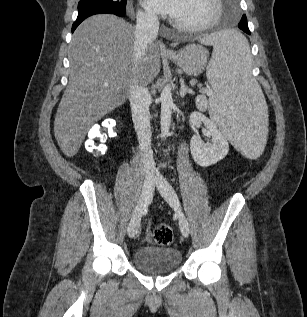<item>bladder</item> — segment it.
<instances>
[{
    "mask_svg": "<svg viewBox=\"0 0 307 317\" xmlns=\"http://www.w3.org/2000/svg\"><path fill=\"white\" fill-rule=\"evenodd\" d=\"M136 267L149 275L165 274L181 263V254L171 247L147 246L139 248L133 256Z\"/></svg>",
    "mask_w": 307,
    "mask_h": 317,
    "instance_id": "31cf9c89",
    "label": "bladder"
}]
</instances>
